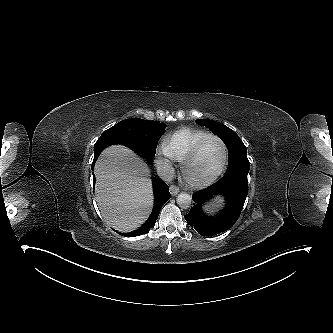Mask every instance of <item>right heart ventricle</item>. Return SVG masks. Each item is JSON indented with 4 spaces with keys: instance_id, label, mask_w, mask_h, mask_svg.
Here are the masks:
<instances>
[{
    "instance_id": "1",
    "label": "right heart ventricle",
    "mask_w": 333,
    "mask_h": 333,
    "mask_svg": "<svg viewBox=\"0 0 333 333\" xmlns=\"http://www.w3.org/2000/svg\"><path fill=\"white\" fill-rule=\"evenodd\" d=\"M209 134L204 130L184 127L169 135L164 146L172 159L182 162L191 148Z\"/></svg>"
}]
</instances>
